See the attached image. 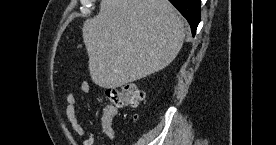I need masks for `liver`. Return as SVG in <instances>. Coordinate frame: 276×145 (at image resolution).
Segmentation results:
<instances>
[{
    "label": "liver",
    "mask_w": 276,
    "mask_h": 145,
    "mask_svg": "<svg viewBox=\"0 0 276 145\" xmlns=\"http://www.w3.org/2000/svg\"><path fill=\"white\" fill-rule=\"evenodd\" d=\"M92 81L118 88L167 67L185 39L184 21L168 0H102L82 28Z\"/></svg>",
    "instance_id": "liver-1"
}]
</instances>
